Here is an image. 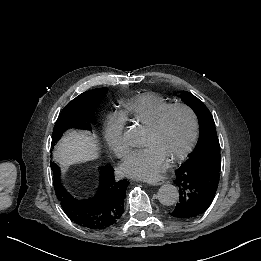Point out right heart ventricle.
<instances>
[{"instance_id": "right-heart-ventricle-1", "label": "right heart ventricle", "mask_w": 261, "mask_h": 261, "mask_svg": "<svg viewBox=\"0 0 261 261\" xmlns=\"http://www.w3.org/2000/svg\"><path fill=\"white\" fill-rule=\"evenodd\" d=\"M120 103L122 116H131L145 124V121L171 102L166 96L158 93H140L125 97Z\"/></svg>"}]
</instances>
